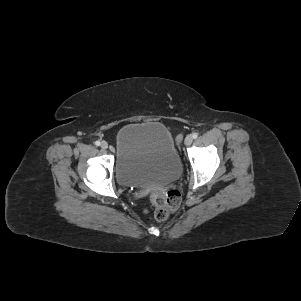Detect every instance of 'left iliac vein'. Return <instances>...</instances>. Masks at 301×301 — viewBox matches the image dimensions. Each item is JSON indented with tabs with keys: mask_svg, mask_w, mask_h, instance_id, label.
<instances>
[{
	"mask_svg": "<svg viewBox=\"0 0 301 301\" xmlns=\"http://www.w3.org/2000/svg\"><path fill=\"white\" fill-rule=\"evenodd\" d=\"M193 142V137L191 135H187L185 140H184V144L186 146H190Z\"/></svg>",
	"mask_w": 301,
	"mask_h": 301,
	"instance_id": "4c4485c4",
	"label": "left iliac vein"
}]
</instances>
